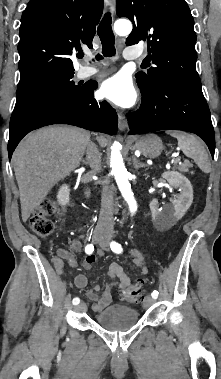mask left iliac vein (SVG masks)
<instances>
[{
	"label": "left iliac vein",
	"mask_w": 221,
	"mask_h": 379,
	"mask_svg": "<svg viewBox=\"0 0 221 379\" xmlns=\"http://www.w3.org/2000/svg\"><path fill=\"white\" fill-rule=\"evenodd\" d=\"M101 248L104 249V250H108L109 249V242L107 240H105L104 242H102L100 244ZM155 299L152 298L151 296H147L144 300V306L145 307H150L153 303H154Z\"/></svg>",
	"instance_id": "obj_1"
}]
</instances>
